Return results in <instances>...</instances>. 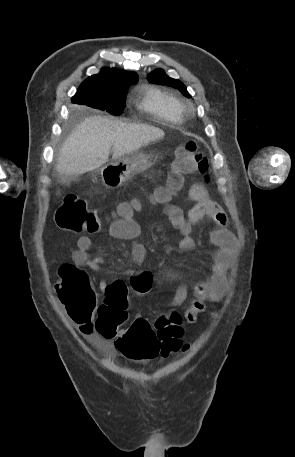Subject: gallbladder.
I'll return each mask as SVG.
<instances>
[{"instance_id":"obj_1","label":"gallbladder","mask_w":295,"mask_h":457,"mask_svg":"<svg viewBox=\"0 0 295 457\" xmlns=\"http://www.w3.org/2000/svg\"><path fill=\"white\" fill-rule=\"evenodd\" d=\"M57 178L61 183L67 184L73 177L72 176H68V175H64V174H58Z\"/></svg>"}]
</instances>
